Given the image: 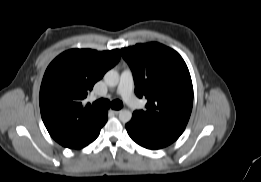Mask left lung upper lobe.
I'll list each match as a JSON object with an SVG mask.
<instances>
[{
  "mask_svg": "<svg viewBox=\"0 0 261 182\" xmlns=\"http://www.w3.org/2000/svg\"><path fill=\"white\" fill-rule=\"evenodd\" d=\"M135 81V93L148 100L146 110L133 113L141 126L181 135L193 105V86L182 57L160 43L122 48Z\"/></svg>",
  "mask_w": 261,
  "mask_h": 182,
  "instance_id": "left-lung-upper-lobe-1",
  "label": "left lung upper lobe"
}]
</instances>
